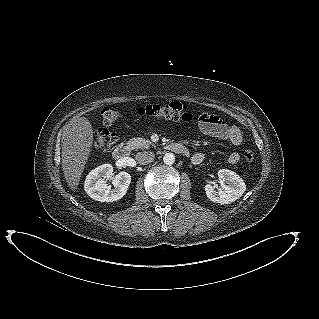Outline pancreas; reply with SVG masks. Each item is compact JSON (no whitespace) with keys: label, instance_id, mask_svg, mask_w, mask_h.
Returning <instances> with one entry per match:
<instances>
[{"label":"pancreas","instance_id":"pancreas-1","mask_svg":"<svg viewBox=\"0 0 319 319\" xmlns=\"http://www.w3.org/2000/svg\"><path fill=\"white\" fill-rule=\"evenodd\" d=\"M127 145L131 148V149H147L149 148L151 145L152 146H155L153 145V143L149 140H145V139H142V138H133V139H130L128 142H127Z\"/></svg>","mask_w":319,"mask_h":319}]
</instances>
